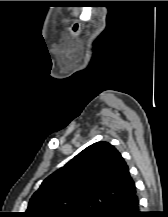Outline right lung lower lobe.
<instances>
[{"label":"right lung lower lobe","mask_w":168,"mask_h":217,"mask_svg":"<svg viewBox=\"0 0 168 217\" xmlns=\"http://www.w3.org/2000/svg\"><path fill=\"white\" fill-rule=\"evenodd\" d=\"M139 212V198L135 192L130 197L108 206L97 217H143Z\"/></svg>","instance_id":"obj_1"}]
</instances>
